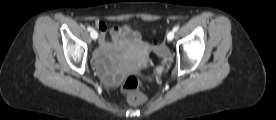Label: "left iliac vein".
<instances>
[{
	"mask_svg": "<svg viewBox=\"0 0 276 120\" xmlns=\"http://www.w3.org/2000/svg\"><path fill=\"white\" fill-rule=\"evenodd\" d=\"M173 38H174V32H173V31L168 32V34H167V39H168L169 41H171V40H173Z\"/></svg>",
	"mask_w": 276,
	"mask_h": 120,
	"instance_id": "left-iliac-vein-1",
	"label": "left iliac vein"
}]
</instances>
